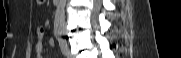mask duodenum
I'll list each match as a JSON object with an SVG mask.
<instances>
[{
  "label": "duodenum",
  "instance_id": "obj_1",
  "mask_svg": "<svg viewBox=\"0 0 181 58\" xmlns=\"http://www.w3.org/2000/svg\"><path fill=\"white\" fill-rule=\"evenodd\" d=\"M59 0H53L54 4H58Z\"/></svg>",
  "mask_w": 181,
  "mask_h": 58
}]
</instances>
